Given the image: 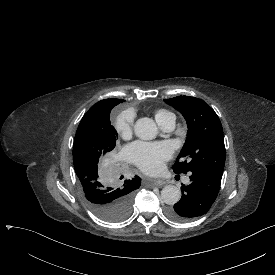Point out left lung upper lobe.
<instances>
[{"mask_svg":"<svg viewBox=\"0 0 275 275\" xmlns=\"http://www.w3.org/2000/svg\"><path fill=\"white\" fill-rule=\"evenodd\" d=\"M182 113L188 131L185 144L172 166L175 173L207 171L222 175L225 164L223 129L219 117L203 100L178 96L164 100Z\"/></svg>","mask_w":275,"mask_h":275,"instance_id":"obj_1","label":"left lung upper lobe"}]
</instances>
